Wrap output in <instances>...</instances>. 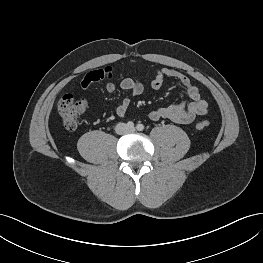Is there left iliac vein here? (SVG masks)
I'll use <instances>...</instances> for the list:
<instances>
[{
  "instance_id": "obj_1",
  "label": "left iliac vein",
  "mask_w": 263,
  "mask_h": 263,
  "mask_svg": "<svg viewBox=\"0 0 263 263\" xmlns=\"http://www.w3.org/2000/svg\"><path fill=\"white\" fill-rule=\"evenodd\" d=\"M130 131H132V132L135 131V128H130Z\"/></svg>"
}]
</instances>
